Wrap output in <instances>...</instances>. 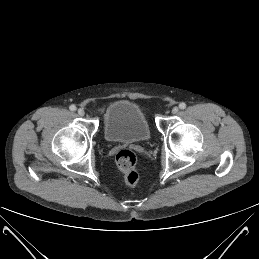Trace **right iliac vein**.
Listing matches in <instances>:
<instances>
[{
  "instance_id": "63e3f726",
  "label": "right iliac vein",
  "mask_w": 259,
  "mask_h": 259,
  "mask_svg": "<svg viewBox=\"0 0 259 259\" xmlns=\"http://www.w3.org/2000/svg\"><path fill=\"white\" fill-rule=\"evenodd\" d=\"M77 113H78L79 116H84L85 111L80 108V109H78Z\"/></svg>"
}]
</instances>
